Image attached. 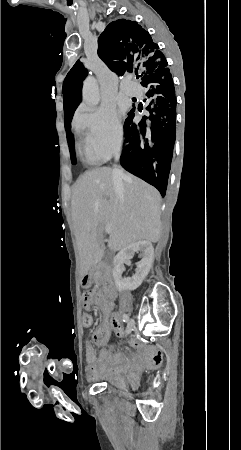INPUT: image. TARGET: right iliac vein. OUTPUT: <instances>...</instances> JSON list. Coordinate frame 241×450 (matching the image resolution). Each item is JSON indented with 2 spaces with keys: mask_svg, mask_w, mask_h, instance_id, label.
I'll list each match as a JSON object with an SVG mask.
<instances>
[{
  "mask_svg": "<svg viewBox=\"0 0 241 450\" xmlns=\"http://www.w3.org/2000/svg\"><path fill=\"white\" fill-rule=\"evenodd\" d=\"M134 326H135L134 320L130 319L128 324H127L126 333L127 334L131 333V331L134 329Z\"/></svg>",
  "mask_w": 241,
  "mask_h": 450,
  "instance_id": "1",
  "label": "right iliac vein"
}]
</instances>
